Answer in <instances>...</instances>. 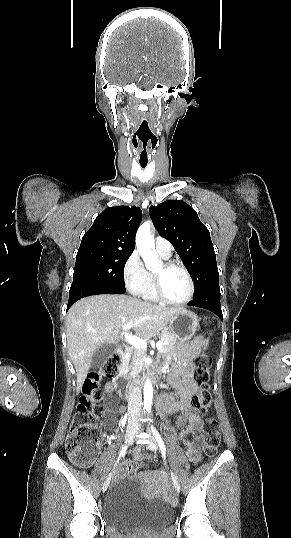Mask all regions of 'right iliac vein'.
I'll return each mask as SVG.
<instances>
[{
  "mask_svg": "<svg viewBox=\"0 0 291 538\" xmlns=\"http://www.w3.org/2000/svg\"><path fill=\"white\" fill-rule=\"evenodd\" d=\"M137 428H138V425H137V422L135 421H130L127 425V429H126V434H125V444L126 445H130L133 441V438H134V435L137 431ZM116 470H114L113 473H115ZM110 479H111V474L107 477V479L105 480L104 484H103V491H106L107 487L109 486V483H110Z\"/></svg>",
  "mask_w": 291,
  "mask_h": 538,
  "instance_id": "right-iliac-vein-1",
  "label": "right iliac vein"
}]
</instances>
